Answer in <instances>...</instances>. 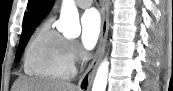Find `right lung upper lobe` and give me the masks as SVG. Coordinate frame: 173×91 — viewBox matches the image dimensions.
<instances>
[{
    "instance_id": "cb5924a9",
    "label": "right lung upper lobe",
    "mask_w": 173,
    "mask_h": 91,
    "mask_svg": "<svg viewBox=\"0 0 173 91\" xmlns=\"http://www.w3.org/2000/svg\"><path fill=\"white\" fill-rule=\"evenodd\" d=\"M32 1V0H31ZM55 0H34L31 2L26 19L23 25V33H27L36 28L41 20L46 16Z\"/></svg>"
}]
</instances>
